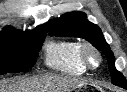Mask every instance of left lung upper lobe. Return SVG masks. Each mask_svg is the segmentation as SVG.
Wrapping results in <instances>:
<instances>
[{
  "label": "left lung upper lobe",
  "mask_w": 127,
  "mask_h": 92,
  "mask_svg": "<svg viewBox=\"0 0 127 92\" xmlns=\"http://www.w3.org/2000/svg\"><path fill=\"white\" fill-rule=\"evenodd\" d=\"M49 34L62 37H79L88 40L94 47L105 53L109 63L112 83L127 89L125 77L116 70L114 56L104 39L100 28L87 20L83 12H72L51 21Z\"/></svg>",
  "instance_id": "5c2ea615"
}]
</instances>
